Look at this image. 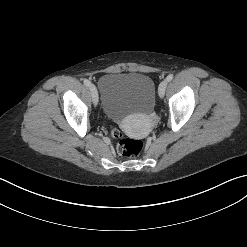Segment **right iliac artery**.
<instances>
[{
	"mask_svg": "<svg viewBox=\"0 0 247 247\" xmlns=\"http://www.w3.org/2000/svg\"><path fill=\"white\" fill-rule=\"evenodd\" d=\"M83 82H84V84H85L86 86L90 87L91 83H90V81H89L88 79H84Z\"/></svg>",
	"mask_w": 247,
	"mask_h": 247,
	"instance_id": "1",
	"label": "right iliac artery"
}]
</instances>
